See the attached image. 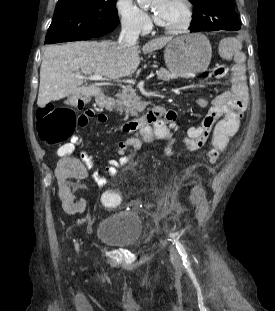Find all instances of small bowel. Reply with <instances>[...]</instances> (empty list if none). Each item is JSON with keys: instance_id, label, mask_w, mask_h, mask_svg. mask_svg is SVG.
I'll use <instances>...</instances> for the list:
<instances>
[{"instance_id": "obj_1", "label": "small bowel", "mask_w": 275, "mask_h": 311, "mask_svg": "<svg viewBox=\"0 0 275 311\" xmlns=\"http://www.w3.org/2000/svg\"><path fill=\"white\" fill-rule=\"evenodd\" d=\"M241 47V43L235 38H227L222 41L218 53L219 57H232L234 62L230 77L231 87L229 90L216 95L210 101L203 98L197 100V105L200 108H207V113L200 123L188 128V148L196 149L202 146L212 133L213 128L216 127L219 118L242 119L248 105V88L246 59L244 53L240 51ZM85 113L89 119H93L98 125L106 121L104 114L96 113L93 109H87ZM148 118L146 126L137 129L133 137L117 143L116 152L119 157L109 160V166L105 174L100 175L94 172V180L99 186H106L109 179L116 175L121 166L129 164L131 157L126 155L127 149L132 147L135 150H140L142 141L139 137H142V140L149 144L155 140L166 141L168 142L167 153L172 152V137L174 132L178 130L176 124L177 112L165 108L164 110H154V112L149 113ZM219 131L221 130H217V132ZM233 131L234 134L238 132V130ZM82 142V138L74 136L71 145H80ZM61 152L62 148L58 151L59 169L56 170V178L60 184V200L62 201L60 213H68L69 216H80L85 209V200L76 198L69 185L72 184V180H85L87 169L93 168L94 160L86 151L81 152V160H74L73 155H63ZM83 165L87 169H83Z\"/></svg>"}]
</instances>
